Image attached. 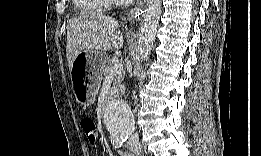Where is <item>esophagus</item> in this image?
<instances>
[{
	"mask_svg": "<svg viewBox=\"0 0 261 156\" xmlns=\"http://www.w3.org/2000/svg\"><path fill=\"white\" fill-rule=\"evenodd\" d=\"M142 16H143L142 8L141 7H136L134 9L130 10L129 20L135 21L136 19H139Z\"/></svg>",
	"mask_w": 261,
	"mask_h": 156,
	"instance_id": "34e87169",
	"label": "esophagus"
}]
</instances>
